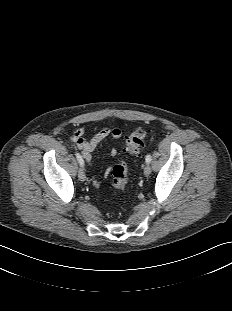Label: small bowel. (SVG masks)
<instances>
[{"instance_id":"c3829d8e","label":"small bowel","mask_w":232,"mask_h":311,"mask_svg":"<svg viewBox=\"0 0 232 311\" xmlns=\"http://www.w3.org/2000/svg\"><path fill=\"white\" fill-rule=\"evenodd\" d=\"M85 129L83 127H79L73 131L70 136L71 143L78 149L86 162L91 164V153L96 149V147L107 137L111 136L113 139L117 140L122 136V130L120 128H110L104 127L100 131H98L90 140H85L83 138ZM111 156H115L117 154L116 149H112L110 152ZM97 185L98 182L94 181Z\"/></svg>"}]
</instances>
